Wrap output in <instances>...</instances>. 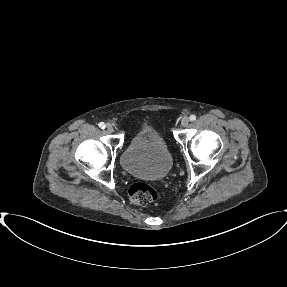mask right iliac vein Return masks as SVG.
<instances>
[{
  "mask_svg": "<svg viewBox=\"0 0 287 287\" xmlns=\"http://www.w3.org/2000/svg\"><path fill=\"white\" fill-rule=\"evenodd\" d=\"M106 130H107L109 133H112V132L114 131V128H113V126H112L111 124H108V125L106 126Z\"/></svg>",
  "mask_w": 287,
  "mask_h": 287,
  "instance_id": "right-iliac-vein-1",
  "label": "right iliac vein"
}]
</instances>
